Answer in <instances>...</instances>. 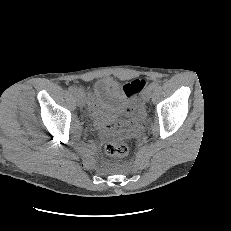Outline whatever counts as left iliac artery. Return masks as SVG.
Returning a JSON list of instances; mask_svg holds the SVG:
<instances>
[{"label":"left iliac artery","instance_id":"obj_1","mask_svg":"<svg viewBox=\"0 0 231 231\" xmlns=\"http://www.w3.org/2000/svg\"><path fill=\"white\" fill-rule=\"evenodd\" d=\"M158 86H159V83L156 81V82H152L151 84H150V87L152 88V89H156V88H158Z\"/></svg>","mask_w":231,"mask_h":231}]
</instances>
